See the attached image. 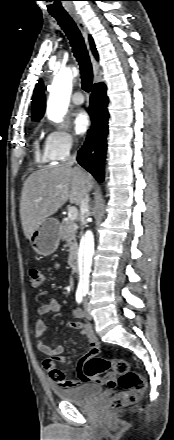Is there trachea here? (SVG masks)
Instances as JSON below:
<instances>
[{
	"instance_id": "obj_1",
	"label": "trachea",
	"mask_w": 174,
	"mask_h": 440,
	"mask_svg": "<svg viewBox=\"0 0 174 440\" xmlns=\"http://www.w3.org/2000/svg\"><path fill=\"white\" fill-rule=\"evenodd\" d=\"M68 37L74 56L79 64L82 88L89 92L93 82V71L88 51L80 30L70 16H53Z\"/></svg>"
}]
</instances>
